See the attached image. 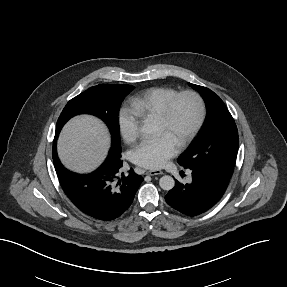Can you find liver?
Here are the masks:
<instances>
[{"mask_svg":"<svg viewBox=\"0 0 287 287\" xmlns=\"http://www.w3.org/2000/svg\"><path fill=\"white\" fill-rule=\"evenodd\" d=\"M109 146L105 125L92 116H78L63 129L58 142L61 162L70 170H94L104 160Z\"/></svg>","mask_w":287,"mask_h":287,"instance_id":"6515ba94","label":"liver"}]
</instances>
